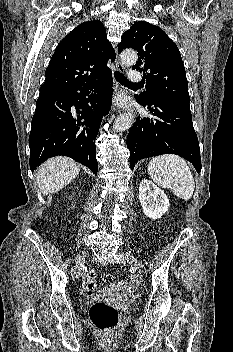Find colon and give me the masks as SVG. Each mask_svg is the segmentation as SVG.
Masks as SVG:
<instances>
[{"label": "colon", "instance_id": "colon-1", "mask_svg": "<svg viewBox=\"0 0 233 352\" xmlns=\"http://www.w3.org/2000/svg\"><path fill=\"white\" fill-rule=\"evenodd\" d=\"M96 284L94 271L87 272L83 279V291L91 294L95 290ZM89 317L93 325L102 332L113 330L119 322L118 310L103 301H96L92 304L89 310Z\"/></svg>", "mask_w": 233, "mask_h": 352}]
</instances>
